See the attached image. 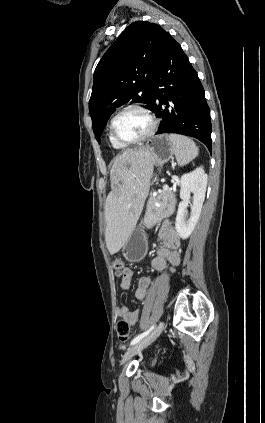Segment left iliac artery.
I'll return each instance as SVG.
<instances>
[{"instance_id": "44dca946", "label": "left iliac artery", "mask_w": 265, "mask_h": 423, "mask_svg": "<svg viewBox=\"0 0 265 423\" xmlns=\"http://www.w3.org/2000/svg\"><path fill=\"white\" fill-rule=\"evenodd\" d=\"M155 328V326L153 325L150 329H148L147 331L143 332L142 334L138 335L137 337H135L130 345H134L137 342H139L141 339H143L144 337H146L153 329Z\"/></svg>"}]
</instances>
